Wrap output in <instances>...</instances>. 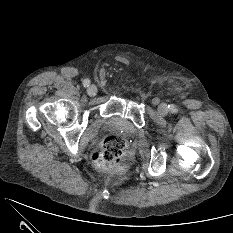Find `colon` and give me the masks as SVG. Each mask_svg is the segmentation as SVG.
<instances>
[{
  "mask_svg": "<svg viewBox=\"0 0 233 233\" xmlns=\"http://www.w3.org/2000/svg\"><path fill=\"white\" fill-rule=\"evenodd\" d=\"M127 149L128 145L125 139L109 135L94 149L92 160L97 168L110 171L122 164Z\"/></svg>",
  "mask_w": 233,
  "mask_h": 233,
  "instance_id": "5ec220e1",
  "label": "colon"
}]
</instances>
